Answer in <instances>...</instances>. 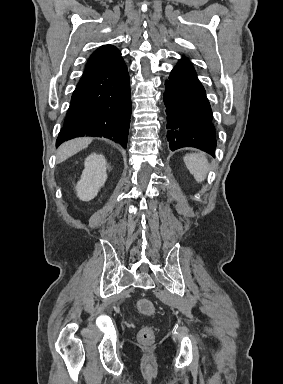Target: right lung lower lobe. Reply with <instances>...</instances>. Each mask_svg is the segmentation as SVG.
<instances>
[{"label":"right lung lower lobe","mask_w":283,"mask_h":384,"mask_svg":"<svg viewBox=\"0 0 283 384\" xmlns=\"http://www.w3.org/2000/svg\"><path fill=\"white\" fill-rule=\"evenodd\" d=\"M131 117L129 74L124 61L84 74L71 97L56 146L82 136L106 137L127 147Z\"/></svg>","instance_id":"1"}]
</instances>
